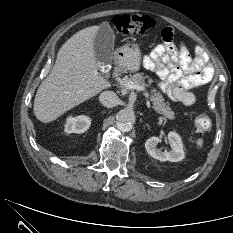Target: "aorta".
Here are the masks:
<instances>
[{"label": "aorta", "mask_w": 233, "mask_h": 233, "mask_svg": "<svg viewBox=\"0 0 233 233\" xmlns=\"http://www.w3.org/2000/svg\"><path fill=\"white\" fill-rule=\"evenodd\" d=\"M135 122V114L130 109H122L117 114V127L120 131L129 132Z\"/></svg>", "instance_id": "obj_1"}]
</instances>
